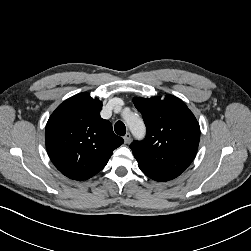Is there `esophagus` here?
Wrapping results in <instances>:
<instances>
[{
	"mask_svg": "<svg viewBox=\"0 0 251 251\" xmlns=\"http://www.w3.org/2000/svg\"><path fill=\"white\" fill-rule=\"evenodd\" d=\"M124 141L126 144H128L131 141L130 133H126V135L124 136Z\"/></svg>",
	"mask_w": 251,
	"mask_h": 251,
	"instance_id": "1",
	"label": "esophagus"
}]
</instances>
